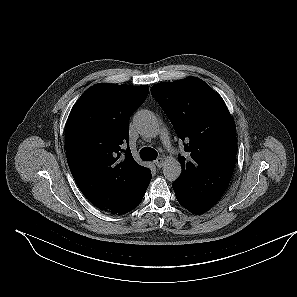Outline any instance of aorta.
<instances>
[{"mask_svg":"<svg viewBox=\"0 0 297 297\" xmlns=\"http://www.w3.org/2000/svg\"><path fill=\"white\" fill-rule=\"evenodd\" d=\"M133 123L138 132L146 137L158 134L159 124L155 115L148 110H140L133 117ZM163 174L169 181H175L181 174L182 167L176 158L166 159L163 163Z\"/></svg>","mask_w":297,"mask_h":297,"instance_id":"1","label":"aorta"}]
</instances>
